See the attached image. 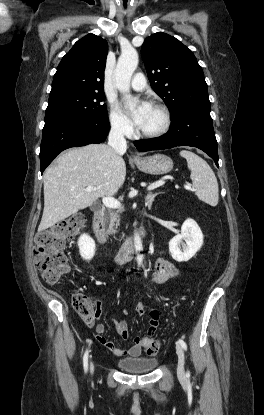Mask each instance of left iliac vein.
Here are the masks:
<instances>
[{"label":"left iliac vein","instance_id":"4c4485c4","mask_svg":"<svg viewBox=\"0 0 264 415\" xmlns=\"http://www.w3.org/2000/svg\"><path fill=\"white\" fill-rule=\"evenodd\" d=\"M176 352L178 355L177 374L180 379H185L184 351L182 346L178 342L176 343Z\"/></svg>","mask_w":264,"mask_h":415}]
</instances>
